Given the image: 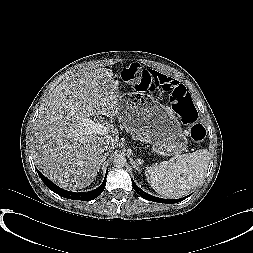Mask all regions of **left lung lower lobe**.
<instances>
[{"instance_id": "1", "label": "left lung lower lobe", "mask_w": 253, "mask_h": 253, "mask_svg": "<svg viewBox=\"0 0 253 253\" xmlns=\"http://www.w3.org/2000/svg\"><path fill=\"white\" fill-rule=\"evenodd\" d=\"M132 185L134 190L144 199L149 200V201H154V202H159V203H177L180 202L182 200H184L187 197L184 198H180V199H162V198H158L152 195L147 194L146 192L142 191L132 180Z\"/></svg>"}]
</instances>
